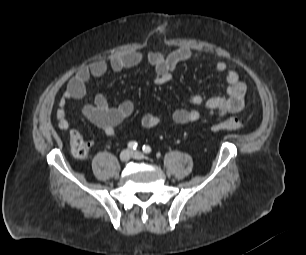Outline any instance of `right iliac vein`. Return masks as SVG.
Listing matches in <instances>:
<instances>
[{
    "label": "right iliac vein",
    "mask_w": 306,
    "mask_h": 255,
    "mask_svg": "<svg viewBox=\"0 0 306 255\" xmlns=\"http://www.w3.org/2000/svg\"><path fill=\"white\" fill-rule=\"evenodd\" d=\"M131 158V152L126 149V150H123L121 153H120V160L122 162H128Z\"/></svg>",
    "instance_id": "63e3f726"
}]
</instances>
